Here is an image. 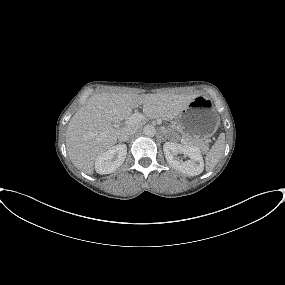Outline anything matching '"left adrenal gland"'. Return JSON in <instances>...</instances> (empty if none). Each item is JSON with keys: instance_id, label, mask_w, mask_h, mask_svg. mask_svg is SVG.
I'll return each instance as SVG.
<instances>
[{"instance_id": "obj_1", "label": "left adrenal gland", "mask_w": 285, "mask_h": 285, "mask_svg": "<svg viewBox=\"0 0 285 285\" xmlns=\"http://www.w3.org/2000/svg\"><path fill=\"white\" fill-rule=\"evenodd\" d=\"M161 132H162L163 136L165 137V140L166 139H170V137L167 135V131L166 130H162Z\"/></svg>"}]
</instances>
